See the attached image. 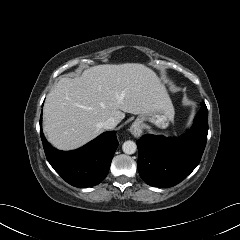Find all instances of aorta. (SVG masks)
<instances>
[{
	"label": "aorta",
	"instance_id": "762f6f07",
	"mask_svg": "<svg viewBox=\"0 0 240 240\" xmlns=\"http://www.w3.org/2000/svg\"><path fill=\"white\" fill-rule=\"evenodd\" d=\"M122 150L125 154H134L137 150L136 143L131 140L125 141L122 145Z\"/></svg>",
	"mask_w": 240,
	"mask_h": 240
}]
</instances>
